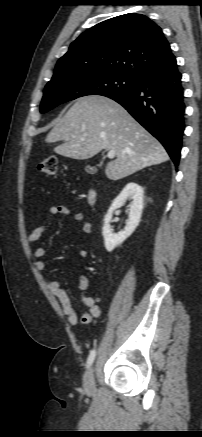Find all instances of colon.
Masks as SVG:
<instances>
[{
    "instance_id": "5ec220e1",
    "label": "colon",
    "mask_w": 202,
    "mask_h": 437,
    "mask_svg": "<svg viewBox=\"0 0 202 437\" xmlns=\"http://www.w3.org/2000/svg\"><path fill=\"white\" fill-rule=\"evenodd\" d=\"M58 161L55 156H47L38 165L40 172L46 175H54L57 172Z\"/></svg>"
}]
</instances>
